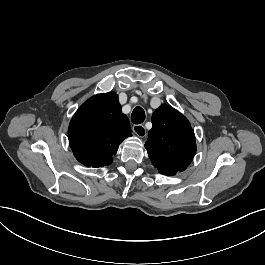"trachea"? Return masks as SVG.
Segmentation results:
<instances>
[{
	"mask_svg": "<svg viewBox=\"0 0 265 265\" xmlns=\"http://www.w3.org/2000/svg\"><path fill=\"white\" fill-rule=\"evenodd\" d=\"M131 120L134 124H141L145 120V112L141 107H136L132 114Z\"/></svg>",
	"mask_w": 265,
	"mask_h": 265,
	"instance_id": "3493384b",
	"label": "trachea"
}]
</instances>
